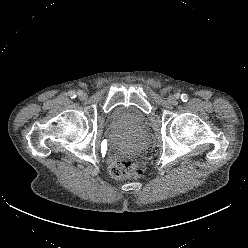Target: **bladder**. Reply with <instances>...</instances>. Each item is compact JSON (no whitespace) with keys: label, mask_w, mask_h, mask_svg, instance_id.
<instances>
[{"label":"bladder","mask_w":248,"mask_h":248,"mask_svg":"<svg viewBox=\"0 0 248 248\" xmlns=\"http://www.w3.org/2000/svg\"><path fill=\"white\" fill-rule=\"evenodd\" d=\"M146 118L131 108L119 106L111 114V125L116 130L113 144L118 148H138L145 144L142 131Z\"/></svg>","instance_id":"obj_1"}]
</instances>
